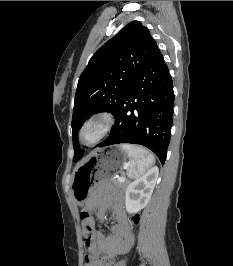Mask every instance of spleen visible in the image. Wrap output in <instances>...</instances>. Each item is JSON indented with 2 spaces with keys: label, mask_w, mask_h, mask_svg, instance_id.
<instances>
[{
  "label": "spleen",
  "mask_w": 233,
  "mask_h": 266,
  "mask_svg": "<svg viewBox=\"0 0 233 266\" xmlns=\"http://www.w3.org/2000/svg\"><path fill=\"white\" fill-rule=\"evenodd\" d=\"M122 149L129 157L127 176L130 179L139 178L155 163V158L147 149L131 144H122Z\"/></svg>",
  "instance_id": "1"
}]
</instances>
